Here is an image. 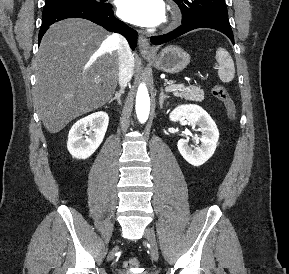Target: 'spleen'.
<instances>
[{"instance_id":"spleen-1","label":"spleen","mask_w":289,"mask_h":274,"mask_svg":"<svg viewBox=\"0 0 289 274\" xmlns=\"http://www.w3.org/2000/svg\"><path fill=\"white\" fill-rule=\"evenodd\" d=\"M216 60L219 64L218 76L224 83H228L233 80L235 75V67L232 57L223 48H218L216 51Z\"/></svg>"}]
</instances>
